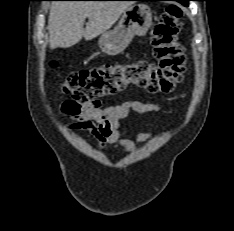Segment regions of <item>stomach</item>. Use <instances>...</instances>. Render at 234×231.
I'll return each mask as SVG.
<instances>
[{"label":"stomach","instance_id":"1","mask_svg":"<svg viewBox=\"0 0 234 231\" xmlns=\"http://www.w3.org/2000/svg\"><path fill=\"white\" fill-rule=\"evenodd\" d=\"M151 25V9L145 4L131 5L124 10L116 27L100 36L99 47L107 55H117L126 49L135 35L144 36Z\"/></svg>","mask_w":234,"mask_h":231}]
</instances>
